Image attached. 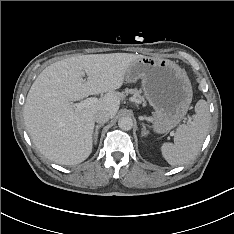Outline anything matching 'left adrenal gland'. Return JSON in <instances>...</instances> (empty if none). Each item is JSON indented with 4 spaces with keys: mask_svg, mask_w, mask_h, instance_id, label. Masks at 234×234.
<instances>
[{
    "mask_svg": "<svg viewBox=\"0 0 234 234\" xmlns=\"http://www.w3.org/2000/svg\"><path fill=\"white\" fill-rule=\"evenodd\" d=\"M142 136H147L148 135V131L146 130V126L145 124L142 123Z\"/></svg>",
    "mask_w": 234,
    "mask_h": 234,
    "instance_id": "obj_1",
    "label": "left adrenal gland"
}]
</instances>
